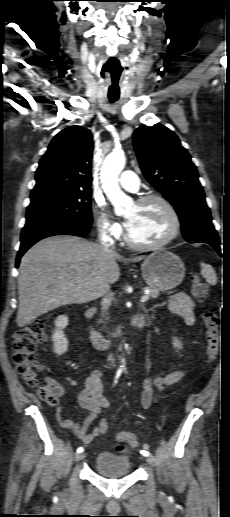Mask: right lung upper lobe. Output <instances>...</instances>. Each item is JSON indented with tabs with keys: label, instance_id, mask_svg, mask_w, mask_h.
Here are the masks:
<instances>
[{
	"label": "right lung upper lobe",
	"instance_id": "1",
	"mask_svg": "<svg viewBox=\"0 0 230 517\" xmlns=\"http://www.w3.org/2000/svg\"><path fill=\"white\" fill-rule=\"evenodd\" d=\"M92 152L93 138L88 129L70 126L59 132L39 162L30 198L90 190Z\"/></svg>",
	"mask_w": 230,
	"mask_h": 517
}]
</instances>
